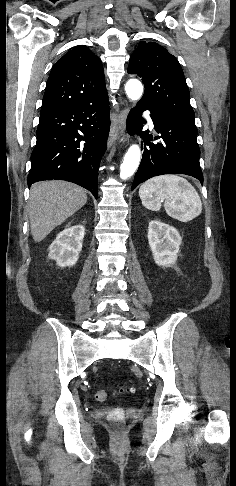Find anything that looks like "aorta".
<instances>
[{"label":"aorta","mask_w":236,"mask_h":486,"mask_svg":"<svg viewBox=\"0 0 236 486\" xmlns=\"http://www.w3.org/2000/svg\"><path fill=\"white\" fill-rule=\"evenodd\" d=\"M127 96L131 100H139L143 93V86L137 79H130L125 85ZM141 158V151L138 145L130 146L124 156V160L120 166V178L125 180L131 177L136 171Z\"/></svg>","instance_id":"obj_1"}]
</instances>
